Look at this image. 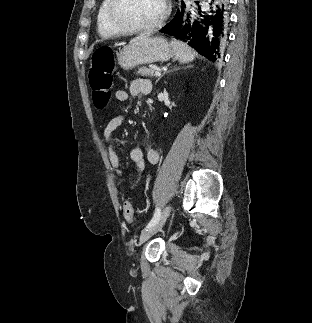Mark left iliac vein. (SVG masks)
I'll return each mask as SVG.
<instances>
[{"label": "left iliac vein", "instance_id": "obj_1", "mask_svg": "<svg viewBox=\"0 0 312 323\" xmlns=\"http://www.w3.org/2000/svg\"><path fill=\"white\" fill-rule=\"evenodd\" d=\"M171 211V207L170 205H167L164 210L162 211L159 220L152 226H150L149 228H147L146 230H144L141 233L140 236V240H139V245H141L143 242H145L146 240H148L152 235H154L155 233H157L159 230H161V228L163 227V225L166 222L167 217L169 216Z\"/></svg>", "mask_w": 312, "mask_h": 323}]
</instances>
